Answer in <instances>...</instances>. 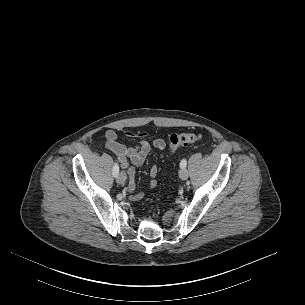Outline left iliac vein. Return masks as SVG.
Masks as SVG:
<instances>
[{"instance_id": "obj_1", "label": "left iliac vein", "mask_w": 305, "mask_h": 305, "mask_svg": "<svg viewBox=\"0 0 305 305\" xmlns=\"http://www.w3.org/2000/svg\"><path fill=\"white\" fill-rule=\"evenodd\" d=\"M179 176L182 180H186L188 178V171L186 168H181L179 171Z\"/></svg>"}]
</instances>
